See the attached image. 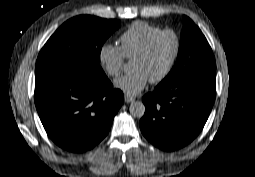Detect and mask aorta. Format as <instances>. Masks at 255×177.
Segmentation results:
<instances>
[{
    "label": "aorta",
    "instance_id": "1",
    "mask_svg": "<svg viewBox=\"0 0 255 177\" xmlns=\"http://www.w3.org/2000/svg\"><path fill=\"white\" fill-rule=\"evenodd\" d=\"M130 114L135 118H142L145 113V106L140 101H135L130 104Z\"/></svg>",
    "mask_w": 255,
    "mask_h": 177
}]
</instances>
